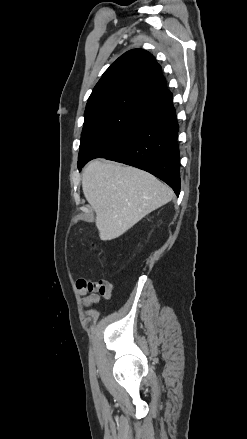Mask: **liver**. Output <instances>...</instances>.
I'll use <instances>...</instances> for the list:
<instances>
[{"mask_svg": "<svg viewBox=\"0 0 247 439\" xmlns=\"http://www.w3.org/2000/svg\"><path fill=\"white\" fill-rule=\"evenodd\" d=\"M82 189L103 240L118 238L173 198L172 190L150 173L101 159L85 167Z\"/></svg>", "mask_w": 247, "mask_h": 439, "instance_id": "1", "label": "liver"}]
</instances>
